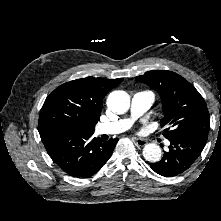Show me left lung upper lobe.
Returning <instances> with one entry per match:
<instances>
[{
	"mask_svg": "<svg viewBox=\"0 0 221 221\" xmlns=\"http://www.w3.org/2000/svg\"><path fill=\"white\" fill-rule=\"evenodd\" d=\"M156 90L163 102L164 137L177 138L193 132L209 133L210 115L199 92L180 75L168 70H152L136 77Z\"/></svg>",
	"mask_w": 221,
	"mask_h": 221,
	"instance_id": "obj_1",
	"label": "left lung upper lobe"
}]
</instances>
